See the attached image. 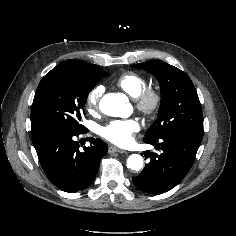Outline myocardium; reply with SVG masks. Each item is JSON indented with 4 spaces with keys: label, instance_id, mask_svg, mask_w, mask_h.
<instances>
[{
    "label": "myocardium",
    "instance_id": "1",
    "mask_svg": "<svg viewBox=\"0 0 236 236\" xmlns=\"http://www.w3.org/2000/svg\"><path fill=\"white\" fill-rule=\"evenodd\" d=\"M136 108L146 117L155 116L161 106L162 96L160 91L154 87H147L137 98Z\"/></svg>",
    "mask_w": 236,
    "mask_h": 236
}]
</instances>
